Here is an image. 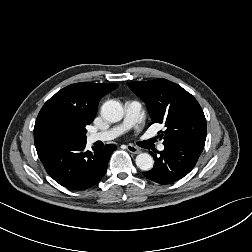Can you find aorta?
<instances>
[{
  "label": "aorta",
  "instance_id": "1",
  "mask_svg": "<svg viewBox=\"0 0 252 252\" xmlns=\"http://www.w3.org/2000/svg\"><path fill=\"white\" fill-rule=\"evenodd\" d=\"M101 115L111 123L119 122L124 115L122 105L115 100L106 101L101 107ZM136 165L143 171H149L154 165L152 156L148 153H141L136 156Z\"/></svg>",
  "mask_w": 252,
  "mask_h": 252
}]
</instances>
